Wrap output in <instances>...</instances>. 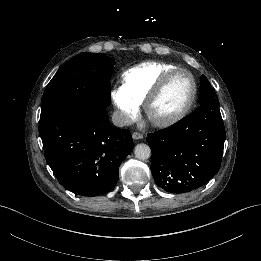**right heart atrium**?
I'll use <instances>...</instances> for the list:
<instances>
[{
    "label": "right heart atrium",
    "instance_id": "right-heart-atrium-1",
    "mask_svg": "<svg viewBox=\"0 0 261 261\" xmlns=\"http://www.w3.org/2000/svg\"><path fill=\"white\" fill-rule=\"evenodd\" d=\"M111 100L117 110V116L121 123L130 125L140 115V104L122 87L111 91Z\"/></svg>",
    "mask_w": 261,
    "mask_h": 261
}]
</instances>
